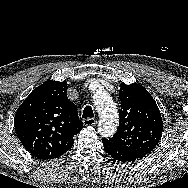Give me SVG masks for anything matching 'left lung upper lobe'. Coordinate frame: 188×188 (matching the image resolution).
I'll list each match as a JSON object with an SVG mask.
<instances>
[{
    "instance_id": "obj_1",
    "label": "left lung upper lobe",
    "mask_w": 188,
    "mask_h": 188,
    "mask_svg": "<svg viewBox=\"0 0 188 188\" xmlns=\"http://www.w3.org/2000/svg\"><path fill=\"white\" fill-rule=\"evenodd\" d=\"M119 126L109 139L116 146L140 159L148 156L157 146L163 131V121L157 104L140 84L120 85Z\"/></svg>"
}]
</instances>
